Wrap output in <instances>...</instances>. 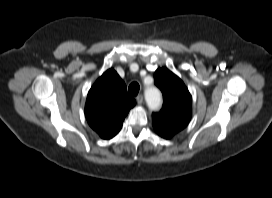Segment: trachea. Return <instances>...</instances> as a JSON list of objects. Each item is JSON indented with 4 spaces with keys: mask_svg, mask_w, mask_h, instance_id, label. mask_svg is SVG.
Masks as SVG:
<instances>
[{
    "mask_svg": "<svg viewBox=\"0 0 272 198\" xmlns=\"http://www.w3.org/2000/svg\"><path fill=\"white\" fill-rule=\"evenodd\" d=\"M139 84L137 82H133L129 85L128 91L132 96H136L139 92Z\"/></svg>",
    "mask_w": 272,
    "mask_h": 198,
    "instance_id": "1",
    "label": "trachea"
}]
</instances>
